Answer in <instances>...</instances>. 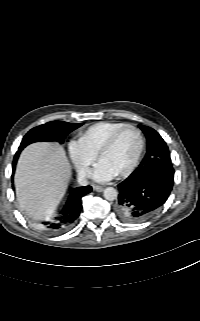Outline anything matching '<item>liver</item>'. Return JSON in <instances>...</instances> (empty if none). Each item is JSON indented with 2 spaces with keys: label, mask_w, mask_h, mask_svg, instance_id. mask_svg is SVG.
I'll return each mask as SVG.
<instances>
[{
  "label": "liver",
  "mask_w": 200,
  "mask_h": 321,
  "mask_svg": "<svg viewBox=\"0 0 200 321\" xmlns=\"http://www.w3.org/2000/svg\"><path fill=\"white\" fill-rule=\"evenodd\" d=\"M71 167L59 145L34 143L19 157L15 188L20 207L34 219L50 217L65 195Z\"/></svg>",
  "instance_id": "obj_1"
}]
</instances>
